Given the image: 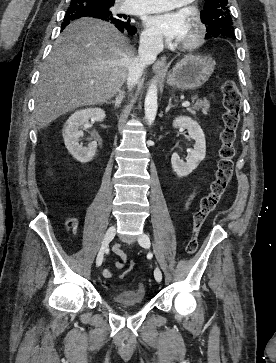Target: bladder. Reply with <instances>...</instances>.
I'll return each instance as SVG.
<instances>
[{"instance_id": "1", "label": "bladder", "mask_w": 276, "mask_h": 363, "mask_svg": "<svg viewBox=\"0 0 276 363\" xmlns=\"http://www.w3.org/2000/svg\"><path fill=\"white\" fill-rule=\"evenodd\" d=\"M144 300L142 288L120 290L112 295L113 302L125 307L141 305Z\"/></svg>"}]
</instances>
